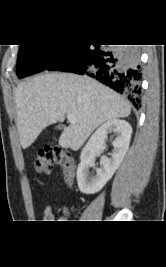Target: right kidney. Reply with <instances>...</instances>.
Returning a JSON list of instances; mask_svg holds the SVG:
<instances>
[{
	"instance_id": "right-kidney-1",
	"label": "right kidney",
	"mask_w": 166,
	"mask_h": 267,
	"mask_svg": "<svg viewBox=\"0 0 166 267\" xmlns=\"http://www.w3.org/2000/svg\"><path fill=\"white\" fill-rule=\"evenodd\" d=\"M111 132L117 134L112 142L114 147L111 158L104 156L100 160L101 168L96 170L95 176L89 175V168L94 165L96 154L105 148L107 135ZM132 128L124 120L113 119L102 124L90 137L80 155V164L77 168V183L84 194H94L100 191L113 176L123 161L129 148Z\"/></svg>"
}]
</instances>
